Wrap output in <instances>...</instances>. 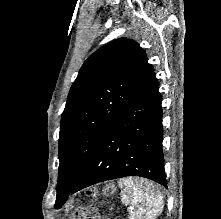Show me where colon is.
Segmentation results:
<instances>
[{
  "mask_svg": "<svg viewBox=\"0 0 221 219\" xmlns=\"http://www.w3.org/2000/svg\"><path fill=\"white\" fill-rule=\"evenodd\" d=\"M70 219H106L95 207L89 206L84 208H77L72 213Z\"/></svg>",
  "mask_w": 221,
  "mask_h": 219,
  "instance_id": "5ec220e1",
  "label": "colon"
}]
</instances>
